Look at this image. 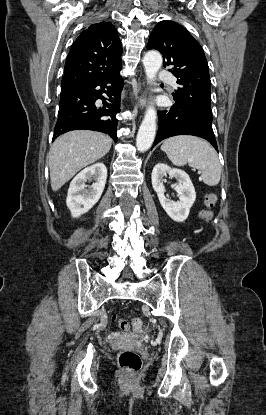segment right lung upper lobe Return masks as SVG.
Instances as JSON below:
<instances>
[{
    "mask_svg": "<svg viewBox=\"0 0 266 415\" xmlns=\"http://www.w3.org/2000/svg\"><path fill=\"white\" fill-rule=\"evenodd\" d=\"M122 46L115 27L100 22L81 32L68 54L61 89L99 79L121 69Z\"/></svg>",
    "mask_w": 266,
    "mask_h": 415,
    "instance_id": "right-lung-upper-lobe-1",
    "label": "right lung upper lobe"
}]
</instances>
